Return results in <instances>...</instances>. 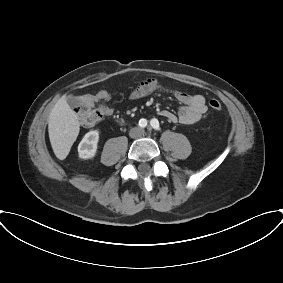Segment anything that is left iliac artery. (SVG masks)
<instances>
[{
	"label": "left iliac artery",
	"instance_id": "left-iliac-artery-1",
	"mask_svg": "<svg viewBox=\"0 0 283 283\" xmlns=\"http://www.w3.org/2000/svg\"><path fill=\"white\" fill-rule=\"evenodd\" d=\"M151 126L155 129V130H160V125L157 119H152L150 121Z\"/></svg>",
	"mask_w": 283,
	"mask_h": 283
}]
</instances>
